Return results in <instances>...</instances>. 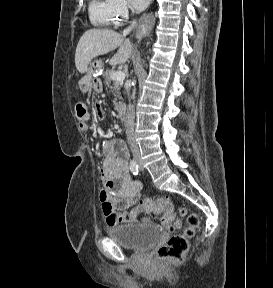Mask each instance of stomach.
<instances>
[{
    "label": "stomach",
    "mask_w": 273,
    "mask_h": 288,
    "mask_svg": "<svg viewBox=\"0 0 273 288\" xmlns=\"http://www.w3.org/2000/svg\"><path fill=\"white\" fill-rule=\"evenodd\" d=\"M103 65L104 63L101 59L92 61L87 69V75L83 78V82L88 84L87 89L93 93H100L102 91V85L98 76L103 70Z\"/></svg>",
    "instance_id": "obj_1"
}]
</instances>
